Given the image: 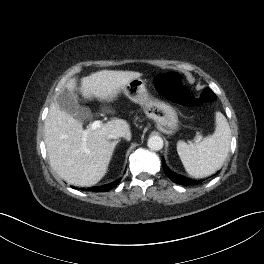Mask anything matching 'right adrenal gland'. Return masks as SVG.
I'll return each instance as SVG.
<instances>
[{
	"label": "right adrenal gland",
	"mask_w": 264,
	"mask_h": 264,
	"mask_svg": "<svg viewBox=\"0 0 264 264\" xmlns=\"http://www.w3.org/2000/svg\"><path fill=\"white\" fill-rule=\"evenodd\" d=\"M119 141L120 140L118 139V140H115V141L111 142V145H112L113 150L115 149V147L119 143Z\"/></svg>",
	"instance_id": "obj_1"
}]
</instances>
